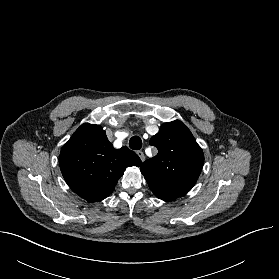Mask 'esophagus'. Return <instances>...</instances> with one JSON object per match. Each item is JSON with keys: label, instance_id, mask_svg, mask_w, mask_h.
I'll return each mask as SVG.
<instances>
[{"label": "esophagus", "instance_id": "esophagus-1", "mask_svg": "<svg viewBox=\"0 0 279 279\" xmlns=\"http://www.w3.org/2000/svg\"><path fill=\"white\" fill-rule=\"evenodd\" d=\"M138 156L140 157L141 161L144 162L145 161V155L142 151H137Z\"/></svg>", "mask_w": 279, "mask_h": 279}]
</instances>
